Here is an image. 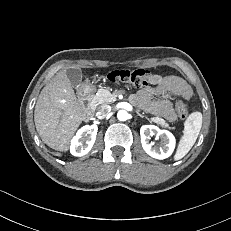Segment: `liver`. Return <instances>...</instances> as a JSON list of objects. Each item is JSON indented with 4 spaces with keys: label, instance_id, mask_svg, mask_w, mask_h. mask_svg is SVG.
I'll use <instances>...</instances> for the list:
<instances>
[{
    "label": "liver",
    "instance_id": "1",
    "mask_svg": "<svg viewBox=\"0 0 231 231\" xmlns=\"http://www.w3.org/2000/svg\"><path fill=\"white\" fill-rule=\"evenodd\" d=\"M88 115L83 102L74 93L66 70H61L41 90L35 105L34 122L47 146L66 152L72 136Z\"/></svg>",
    "mask_w": 231,
    "mask_h": 231
}]
</instances>
